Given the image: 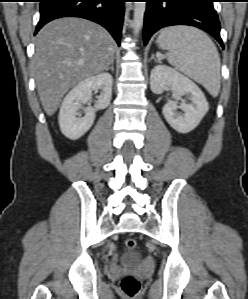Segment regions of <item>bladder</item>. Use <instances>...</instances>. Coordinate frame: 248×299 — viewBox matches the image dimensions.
Segmentation results:
<instances>
[{"label": "bladder", "mask_w": 248, "mask_h": 299, "mask_svg": "<svg viewBox=\"0 0 248 299\" xmlns=\"http://www.w3.org/2000/svg\"><path fill=\"white\" fill-rule=\"evenodd\" d=\"M139 262L140 257L134 252H130L129 254L121 258V264L126 267H137L139 265Z\"/></svg>", "instance_id": "bladder-1"}]
</instances>
